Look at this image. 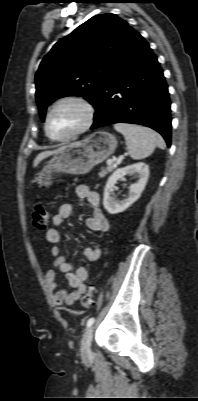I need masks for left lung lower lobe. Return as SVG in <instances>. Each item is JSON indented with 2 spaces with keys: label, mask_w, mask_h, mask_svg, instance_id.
<instances>
[{
  "label": "left lung lower lobe",
  "mask_w": 198,
  "mask_h": 401,
  "mask_svg": "<svg viewBox=\"0 0 198 401\" xmlns=\"http://www.w3.org/2000/svg\"><path fill=\"white\" fill-rule=\"evenodd\" d=\"M91 129L133 123L159 132L171 143L170 100L155 54L137 33L106 79L95 105Z\"/></svg>",
  "instance_id": "1"
}]
</instances>
